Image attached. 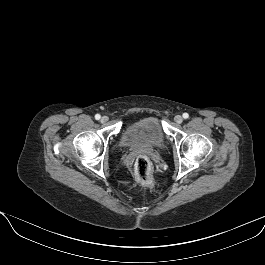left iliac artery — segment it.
Masks as SVG:
<instances>
[{
  "mask_svg": "<svg viewBox=\"0 0 265 265\" xmlns=\"http://www.w3.org/2000/svg\"><path fill=\"white\" fill-rule=\"evenodd\" d=\"M188 117H189V114H188V113H184V114H183V118H184V119H187Z\"/></svg>",
  "mask_w": 265,
  "mask_h": 265,
  "instance_id": "1",
  "label": "left iliac artery"
}]
</instances>
